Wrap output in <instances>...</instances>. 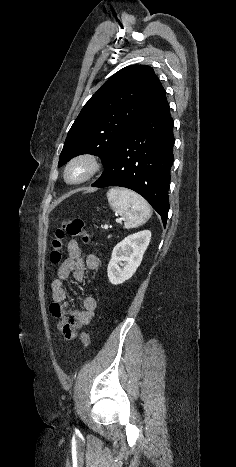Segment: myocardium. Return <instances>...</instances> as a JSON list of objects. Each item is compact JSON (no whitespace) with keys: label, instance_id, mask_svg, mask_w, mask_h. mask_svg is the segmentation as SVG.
I'll return each mask as SVG.
<instances>
[{"label":"myocardium","instance_id":"1","mask_svg":"<svg viewBox=\"0 0 236 467\" xmlns=\"http://www.w3.org/2000/svg\"><path fill=\"white\" fill-rule=\"evenodd\" d=\"M83 164L86 168L85 174L78 180L70 181L68 173L70 169L77 165ZM100 158L91 152H83L72 157L64 166L63 178L68 185H81L91 180L101 169Z\"/></svg>","mask_w":236,"mask_h":467}]
</instances>
